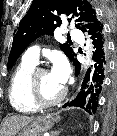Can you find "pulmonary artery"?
I'll return each instance as SVG.
<instances>
[{"mask_svg": "<svg viewBox=\"0 0 117 136\" xmlns=\"http://www.w3.org/2000/svg\"><path fill=\"white\" fill-rule=\"evenodd\" d=\"M69 36L74 40L81 42L82 36L79 31L75 29L69 30ZM39 58V47L35 46L30 48L24 55L23 60L37 64Z\"/></svg>", "mask_w": 117, "mask_h": 136, "instance_id": "1", "label": "pulmonary artery"}]
</instances>
